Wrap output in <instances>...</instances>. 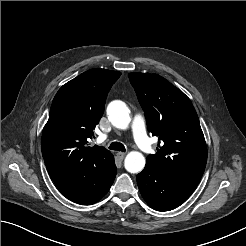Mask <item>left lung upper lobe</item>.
I'll return each instance as SVG.
<instances>
[{
  "instance_id": "1",
  "label": "left lung upper lobe",
  "mask_w": 246,
  "mask_h": 246,
  "mask_svg": "<svg viewBox=\"0 0 246 246\" xmlns=\"http://www.w3.org/2000/svg\"><path fill=\"white\" fill-rule=\"evenodd\" d=\"M148 130L159 137L157 153L146 167L186 174L201 179L207 147L190 99L165 78L150 73H130Z\"/></svg>"
}]
</instances>
